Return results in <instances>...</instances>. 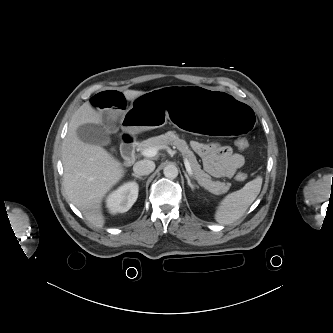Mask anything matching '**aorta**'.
I'll list each match as a JSON object with an SVG mask.
<instances>
[{
  "label": "aorta",
  "instance_id": "762f6f07",
  "mask_svg": "<svg viewBox=\"0 0 333 333\" xmlns=\"http://www.w3.org/2000/svg\"><path fill=\"white\" fill-rule=\"evenodd\" d=\"M164 176L169 179H175L178 176V169L175 165L169 164L163 170Z\"/></svg>",
  "mask_w": 333,
  "mask_h": 333
}]
</instances>
